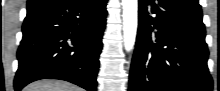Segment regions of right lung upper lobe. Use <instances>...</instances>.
I'll return each instance as SVG.
<instances>
[{
  "label": "right lung upper lobe",
  "mask_w": 220,
  "mask_h": 91,
  "mask_svg": "<svg viewBox=\"0 0 220 91\" xmlns=\"http://www.w3.org/2000/svg\"><path fill=\"white\" fill-rule=\"evenodd\" d=\"M41 0H29V4H32V3H36V2H39Z\"/></svg>",
  "instance_id": "cb5924a9"
}]
</instances>
